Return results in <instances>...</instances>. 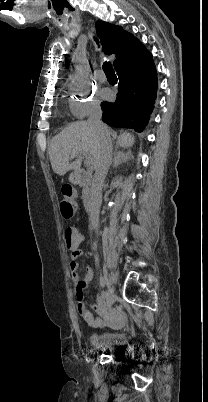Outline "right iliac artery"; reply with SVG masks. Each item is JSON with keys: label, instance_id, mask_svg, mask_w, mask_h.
<instances>
[{"label": "right iliac artery", "instance_id": "1", "mask_svg": "<svg viewBox=\"0 0 208 402\" xmlns=\"http://www.w3.org/2000/svg\"><path fill=\"white\" fill-rule=\"evenodd\" d=\"M102 295H103L104 299L107 301L108 298H109V293L104 290V291L102 292Z\"/></svg>", "mask_w": 208, "mask_h": 402}]
</instances>
